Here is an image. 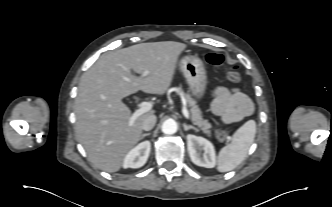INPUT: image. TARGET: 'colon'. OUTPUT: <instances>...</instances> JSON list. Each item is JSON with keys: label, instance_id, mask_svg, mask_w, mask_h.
Segmentation results:
<instances>
[{"label": "colon", "instance_id": "5ec220e1", "mask_svg": "<svg viewBox=\"0 0 332 207\" xmlns=\"http://www.w3.org/2000/svg\"><path fill=\"white\" fill-rule=\"evenodd\" d=\"M205 60L212 65L221 66L228 80L231 82H237L240 80V72L236 65L224 64V57L218 53H208L205 55ZM219 140L224 141L228 137V133L224 129H219L216 133Z\"/></svg>", "mask_w": 332, "mask_h": 207}]
</instances>
